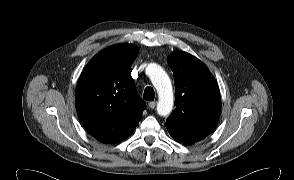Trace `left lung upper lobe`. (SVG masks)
I'll return each mask as SVG.
<instances>
[{
	"instance_id": "1",
	"label": "left lung upper lobe",
	"mask_w": 294,
	"mask_h": 180,
	"mask_svg": "<svg viewBox=\"0 0 294 180\" xmlns=\"http://www.w3.org/2000/svg\"><path fill=\"white\" fill-rule=\"evenodd\" d=\"M168 64L174 74L176 108L166 120L167 129L208 136L221 114L216 80L204 63L187 52H173L168 57Z\"/></svg>"
}]
</instances>
